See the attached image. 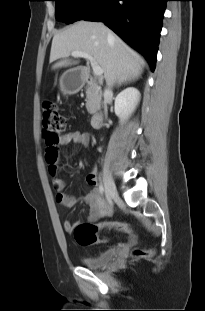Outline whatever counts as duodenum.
Returning <instances> with one entry per match:
<instances>
[{"mask_svg":"<svg viewBox=\"0 0 205 311\" xmlns=\"http://www.w3.org/2000/svg\"><path fill=\"white\" fill-rule=\"evenodd\" d=\"M78 75L81 77V81L83 83H87V82L92 83L95 80V78L89 74L88 69L85 67H81L78 70ZM102 120H103V114L101 112H96L91 117V125L93 127H96L101 123Z\"/></svg>","mask_w":205,"mask_h":311,"instance_id":"duodenum-1","label":"duodenum"}]
</instances>
